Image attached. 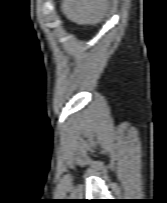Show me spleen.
Instances as JSON below:
<instances>
[{"mask_svg": "<svg viewBox=\"0 0 167 203\" xmlns=\"http://www.w3.org/2000/svg\"><path fill=\"white\" fill-rule=\"evenodd\" d=\"M109 7L108 0H62L61 11L79 25L100 23Z\"/></svg>", "mask_w": 167, "mask_h": 203, "instance_id": "spleen-1", "label": "spleen"}]
</instances>
